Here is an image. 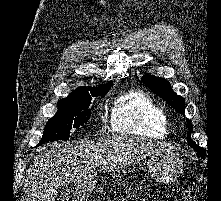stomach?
Returning a JSON list of instances; mask_svg holds the SVG:
<instances>
[{"mask_svg":"<svg viewBox=\"0 0 221 201\" xmlns=\"http://www.w3.org/2000/svg\"><path fill=\"white\" fill-rule=\"evenodd\" d=\"M147 169L155 181L169 184L174 182L182 173L183 162L175 150L157 152L149 156Z\"/></svg>","mask_w":221,"mask_h":201,"instance_id":"stomach-1","label":"stomach"}]
</instances>
